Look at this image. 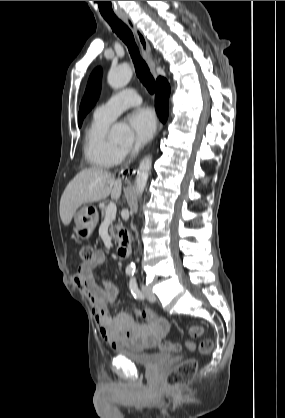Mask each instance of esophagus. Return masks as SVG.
Instances as JSON below:
<instances>
[{
  "label": "esophagus",
  "mask_w": 285,
  "mask_h": 418,
  "mask_svg": "<svg viewBox=\"0 0 285 418\" xmlns=\"http://www.w3.org/2000/svg\"><path fill=\"white\" fill-rule=\"evenodd\" d=\"M119 18L135 33L137 40L140 44L143 57L154 77L157 76L156 74V67L154 60L151 54V48L149 42L142 32V30L133 22V20L126 14L119 15ZM162 128V124L158 125L157 131H160Z\"/></svg>",
  "instance_id": "esophagus-1"
}]
</instances>
